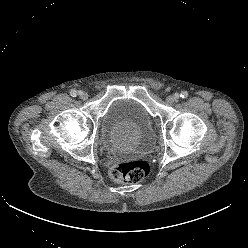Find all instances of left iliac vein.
I'll use <instances>...</instances> for the list:
<instances>
[{
    "instance_id": "left-iliac-vein-1",
    "label": "left iliac vein",
    "mask_w": 248,
    "mask_h": 248,
    "mask_svg": "<svg viewBox=\"0 0 248 248\" xmlns=\"http://www.w3.org/2000/svg\"><path fill=\"white\" fill-rule=\"evenodd\" d=\"M175 101H176V97L173 95H170L166 98V102L170 105L173 104Z\"/></svg>"
}]
</instances>
